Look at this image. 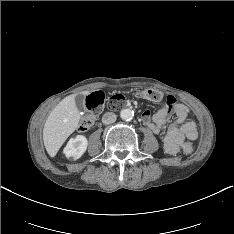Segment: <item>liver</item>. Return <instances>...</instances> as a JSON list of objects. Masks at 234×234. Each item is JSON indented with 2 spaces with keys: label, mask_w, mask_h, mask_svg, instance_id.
<instances>
[{
  "label": "liver",
  "mask_w": 234,
  "mask_h": 234,
  "mask_svg": "<svg viewBox=\"0 0 234 234\" xmlns=\"http://www.w3.org/2000/svg\"><path fill=\"white\" fill-rule=\"evenodd\" d=\"M91 91H83L88 95ZM76 94L65 97L49 114L43 128V141L47 153L54 157L66 139L75 131L80 114L75 104Z\"/></svg>",
  "instance_id": "liver-1"
}]
</instances>
